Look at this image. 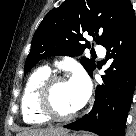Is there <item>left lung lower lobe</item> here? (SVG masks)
<instances>
[{
    "mask_svg": "<svg viewBox=\"0 0 136 136\" xmlns=\"http://www.w3.org/2000/svg\"><path fill=\"white\" fill-rule=\"evenodd\" d=\"M103 46L107 49L106 59H113V62L102 76L104 83L97 86L93 108L81 119L64 127L100 136H124L136 84V19L133 8Z\"/></svg>",
    "mask_w": 136,
    "mask_h": 136,
    "instance_id": "1",
    "label": "left lung lower lobe"
}]
</instances>
